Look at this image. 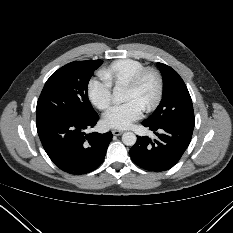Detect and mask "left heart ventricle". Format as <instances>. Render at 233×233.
Here are the masks:
<instances>
[{
	"instance_id": "1",
	"label": "left heart ventricle",
	"mask_w": 233,
	"mask_h": 233,
	"mask_svg": "<svg viewBox=\"0 0 233 233\" xmlns=\"http://www.w3.org/2000/svg\"><path fill=\"white\" fill-rule=\"evenodd\" d=\"M156 83L152 76H147L138 89L125 88L124 101H136L145 108L155 97Z\"/></svg>"
}]
</instances>
